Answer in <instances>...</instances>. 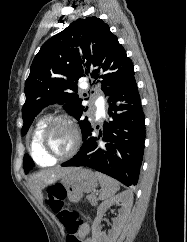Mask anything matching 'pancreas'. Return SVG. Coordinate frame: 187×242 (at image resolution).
<instances>
[{
	"mask_svg": "<svg viewBox=\"0 0 187 242\" xmlns=\"http://www.w3.org/2000/svg\"><path fill=\"white\" fill-rule=\"evenodd\" d=\"M87 200L89 201V203H90L92 206H96V205H97V201H98V199L96 198V196H94V195H89V196H87Z\"/></svg>",
	"mask_w": 187,
	"mask_h": 242,
	"instance_id": "obj_1",
	"label": "pancreas"
}]
</instances>
